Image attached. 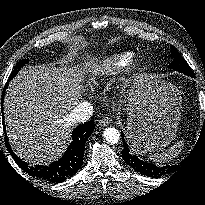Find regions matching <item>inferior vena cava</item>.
I'll use <instances>...</instances> for the list:
<instances>
[{
  "instance_id": "602c4592",
  "label": "inferior vena cava",
  "mask_w": 205,
  "mask_h": 205,
  "mask_svg": "<svg viewBox=\"0 0 205 205\" xmlns=\"http://www.w3.org/2000/svg\"><path fill=\"white\" fill-rule=\"evenodd\" d=\"M93 114V106L89 102H83L75 106L68 116V122H86Z\"/></svg>"
}]
</instances>
